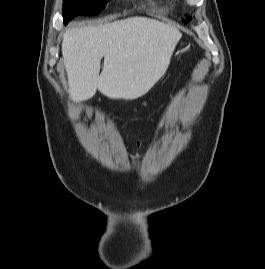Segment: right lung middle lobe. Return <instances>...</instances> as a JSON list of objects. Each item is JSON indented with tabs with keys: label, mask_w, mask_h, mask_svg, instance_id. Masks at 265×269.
Segmentation results:
<instances>
[{
	"label": "right lung middle lobe",
	"mask_w": 265,
	"mask_h": 269,
	"mask_svg": "<svg viewBox=\"0 0 265 269\" xmlns=\"http://www.w3.org/2000/svg\"><path fill=\"white\" fill-rule=\"evenodd\" d=\"M110 0H63L64 24L77 15H96Z\"/></svg>",
	"instance_id": "1"
}]
</instances>
